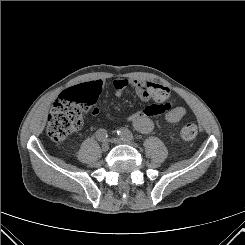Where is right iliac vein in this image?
Here are the masks:
<instances>
[{
    "instance_id": "right-iliac-vein-1",
    "label": "right iliac vein",
    "mask_w": 245,
    "mask_h": 245,
    "mask_svg": "<svg viewBox=\"0 0 245 245\" xmlns=\"http://www.w3.org/2000/svg\"><path fill=\"white\" fill-rule=\"evenodd\" d=\"M102 151H104V152H106V151H108L109 150V144H108V142H104L103 144H102Z\"/></svg>"
}]
</instances>
